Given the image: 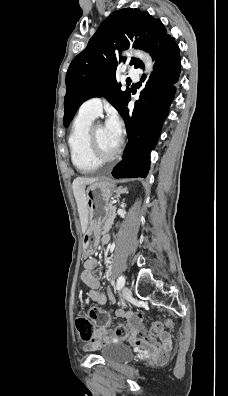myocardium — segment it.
Returning <instances> with one entry per match:
<instances>
[{
    "label": "myocardium",
    "instance_id": "myocardium-1",
    "mask_svg": "<svg viewBox=\"0 0 228 396\" xmlns=\"http://www.w3.org/2000/svg\"><path fill=\"white\" fill-rule=\"evenodd\" d=\"M99 126H102V124L95 123V124L91 125V127L88 130L87 141H88V150H89V154H90L91 158L93 159L94 162L101 165V164L112 162L119 156L121 149H122V141H119L116 150L111 155L105 156V155L101 154V152L99 151L98 144L96 141V136H95L96 129Z\"/></svg>",
    "mask_w": 228,
    "mask_h": 396
}]
</instances>
